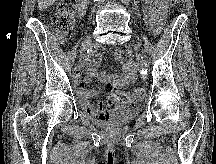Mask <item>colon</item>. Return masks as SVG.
Listing matches in <instances>:
<instances>
[{"mask_svg":"<svg viewBox=\"0 0 216 164\" xmlns=\"http://www.w3.org/2000/svg\"><path fill=\"white\" fill-rule=\"evenodd\" d=\"M170 1L174 6H177L180 3V0ZM76 7V0H60L57 4L55 14L52 18V25L60 36L66 34L71 28ZM145 95V89L137 87L130 92L116 91L113 97L119 104L134 105L143 100Z\"/></svg>","mask_w":216,"mask_h":164,"instance_id":"obj_1","label":"colon"}]
</instances>
